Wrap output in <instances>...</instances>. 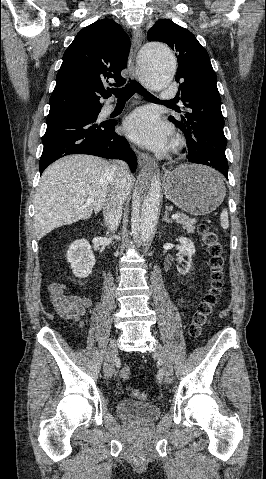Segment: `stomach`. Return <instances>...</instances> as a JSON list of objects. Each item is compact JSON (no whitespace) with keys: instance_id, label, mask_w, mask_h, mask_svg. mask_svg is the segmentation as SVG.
Wrapping results in <instances>:
<instances>
[{"instance_id":"stomach-1","label":"stomach","mask_w":266,"mask_h":479,"mask_svg":"<svg viewBox=\"0 0 266 479\" xmlns=\"http://www.w3.org/2000/svg\"><path fill=\"white\" fill-rule=\"evenodd\" d=\"M166 197L183 211L206 215L224 200L225 185L221 175L203 165H182L171 171L164 183Z\"/></svg>"}]
</instances>
